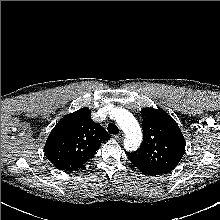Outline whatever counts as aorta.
Segmentation results:
<instances>
[{"mask_svg": "<svg viewBox=\"0 0 220 220\" xmlns=\"http://www.w3.org/2000/svg\"><path fill=\"white\" fill-rule=\"evenodd\" d=\"M115 120L125 133L124 148L135 151L141 144L142 132L135 117L125 109H116Z\"/></svg>", "mask_w": 220, "mask_h": 220, "instance_id": "aorta-1", "label": "aorta"}]
</instances>
